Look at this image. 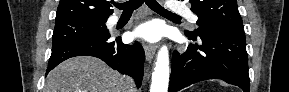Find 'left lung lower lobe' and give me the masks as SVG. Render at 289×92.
Instances as JSON below:
<instances>
[{
	"mask_svg": "<svg viewBox=\"0 0 289 92\" xmlns=\"http://www.w3.org/2000/svg\"><path fill=\"white\" fill-rule=\"evenodd\" d=\"M183 54L174 52L168 92L179 91L206 79H223L250 92L248 57L242 30L220 26L200 27Z\"/></svg>",
	"mask_w": 289,
	"mask_h": 92,
	"instance_id": "1",
	"label": "left lung lower lobe"
}]
</instances>
